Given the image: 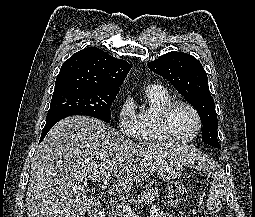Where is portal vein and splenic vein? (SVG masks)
Returning a JSON list of instances; mask_svg holds the SVG:
<instances>
[{"mask_svg":"<svg viewBox=\"0 0 255 217\" xmlns=\"http://www.w3.org/2000/svg\"><path fill=\"white\" fill-rule=\"evenodd\" d=\"M110 180V176H106L102 179V187H104L107 182ZM119 207L122 209V212L125 216H130L132 217L133 216V211L131 209V207L129 205H126V204H121L119 205Z\"/></svg>","mask_w":255,"mask_h":217,"instance_id":"portal-vein-and-splenic-vein-1","label":"portal vein and splenic vein"}]
</instances>
